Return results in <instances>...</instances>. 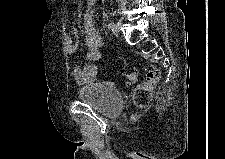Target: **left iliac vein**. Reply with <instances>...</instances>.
Here are the masks:
<instances>
[{
    "mask_svg": "<svg viewBox=\"0 0 225 159\" xmlns=\"http://www.w3.org/2000/svg\"><path fill=\"white\" fill-rule=\"evenodd\" d=\"M119 28H120V24L119 23H114V27H113V30L112 32L117 35L118 32H119Z\"/></svg>",
    "mask_w": 225,
    "mask_h": 159,
    "instance_id": "left-iliac-vein-1",
    "label": "left iliac vein"
}]
</instances>
